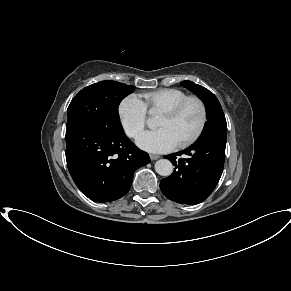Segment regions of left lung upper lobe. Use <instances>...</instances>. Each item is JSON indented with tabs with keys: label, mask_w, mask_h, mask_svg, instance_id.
Returning a JSON list of instances; mask_svg holds the SVG:
<instances>
[{
	"label": "left lung upper lobe",
	"mask_w": 291,
	"mask_h": 291,
	"mask_svg": "<svg viewBox=\"0 0 291 291\" xmlns=\"http://www.w3.org/2000/svg\"><path fill=\"white\" fill-rule=\"evenodd\" d=\"M181 85L196 94L206 106L207 122L199 139L210 136L226 138L227 123L216 96L205 87L192 81H182Z\"/></svg>",
	"instance_id": "5c2ea615"
}]
</instances>
